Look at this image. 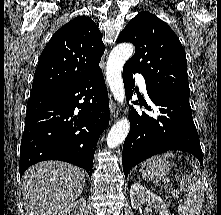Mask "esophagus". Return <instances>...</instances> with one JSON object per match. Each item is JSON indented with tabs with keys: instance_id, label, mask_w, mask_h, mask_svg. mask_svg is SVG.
I'll list each match as a JSON object with an SVG mask.
<instances>
[{
	"instance_id": "obj_1",
	"label": "esophagus",
	"mask_w": 221,
	"mask_h": 215,
	"mask_svg": "<svg viewBox=\"0 0 221 215\" xmlns=\"http://www.w3.org/2000/svg\"><path fill=\"white\" fill-rule=\"evenodd\" d=\"M109 99H110V112H111V115L116 116V114H117V105L114 102V100L112 99L111 95L109 96Z\"/></svg>"
}]
</instances>
